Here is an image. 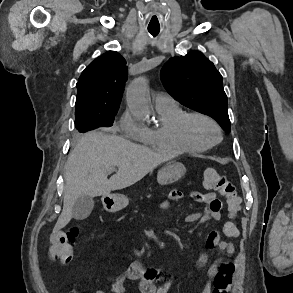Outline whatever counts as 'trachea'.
I'll return each mask as SVG.
<instances>
[{
  "mask_svg": "<svg viewBox=\"0 0 293 293\" xmlns=\"http://www.w3.org/2000/svg\"><path fill=\"white\" fill-rule=\"evenodd\" d=\"M148 32L155 37L159 34L160 29H148Z\"/></svg>",
  "mask_w": 293,
  "mask_h": 293,
  "instance_id": "trachea-1",
  "label": "trachea"
}]
</instances>
